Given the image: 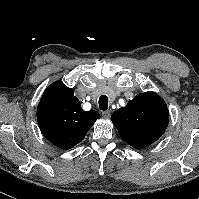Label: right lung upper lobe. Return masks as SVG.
I'll use <instances>...</instances> for the list:
<instances>
[{
    "label": "right lung upper lobe",
    "mask_w": 199,
    "mask_h": 199,
    "mask_svg": "<svg viewBox=\"0 0 199 199\" xmlns=\"http://www.w3.org/2000/svg\"><path fill=\"white\" fill-rule=\"evenodd\" d=\"M72 88L56 81L44 91L37 108V121L44 137L62 149L81 142L100 118L95 110L84 111Z\"/></svg>",
    "instance_id": "obj_1"
}]
</instances>
